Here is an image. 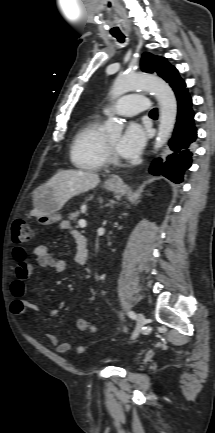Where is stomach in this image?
<instances>
[{
	"instance_id": "obj_1",
	"label": "stomach",
	"mask_w": 215,
	"mask_h": 433,
	"mask_svg": "<svg viewBox=\"0 0 215 433\" xmlns=\"http://www.w3.org/2000/svg\"><path fill=\"white\" fill-rule=\"evenodd\" d=\"M105 189L115 191L116 185L105 184ZM34 207L38 211L37 221L41 225H50L61 219L59 210L61 206L57 202L55 192L52 188L40 186L33 192Z\"/></svg>"
}]
</instances>
